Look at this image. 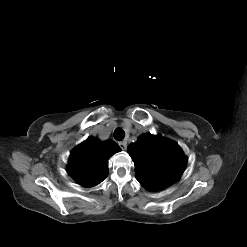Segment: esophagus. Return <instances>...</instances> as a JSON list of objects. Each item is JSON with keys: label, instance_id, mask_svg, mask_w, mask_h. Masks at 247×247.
Here are the masks:
<instances>
[{"label": "esophagus", "instance_id": "34e87169", "mask_svg": "<svg viewBox=\"0 0 247 247\" xmlns=\"http://www.w3.org/2000/svg\"><path fill=\"white\" fill-rule=\"evenodd\" d=\"M118 145L122 150H126V148H127V142L126 141H121L118 143Z\"/></svg>", "mask_w": 247, "mask_h": 247}]
</instances>
